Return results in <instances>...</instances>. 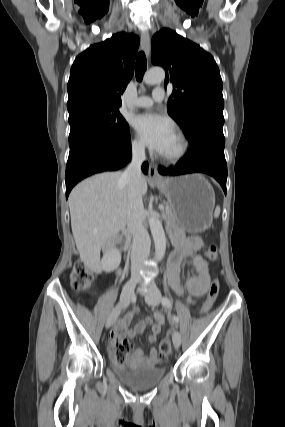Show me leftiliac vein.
Here are the masks:
<instances>
[{
    "mask_svg": "<svg viewBox=\"0 0 285 427\" xmlns=\"http://www.w3.org/2000/svg\"><path fill=\"white\" fill-rule=\"evenodd\" d=\"M145 300L151 306H157L161 302V293L154 283L149 285L148 291L145 294ZM173 343L176 348H179L181 345V335L177 331L173 335Z\"/></svg>",
    "mask_w": 285,
    "mask_h": 427,
    "instance_id": "left-iliac-vein-1",
    "label": "left iliac vein"
}]
</instances>
